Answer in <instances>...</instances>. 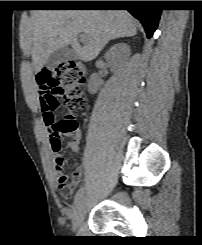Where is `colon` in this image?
I'll return each mask as SVG.
<instances>
[{
  "label": "colon",
  "instance_id": "5ec220e1",
  "mask_svg": "<svg viewBox=\"0 0 202 245\" xmlns=\"http://www.w3.org/2000/svg\"><path fill=\"white\" fill-rule=\"evenodd\" d=\"M84 76L74 61H63L53 68H47L37 75L38 86L45 94H56L65 104L68 114L66 118L56 125L54 105L48 96H40V110L43 120L48 128V137L54 149L62 146V132H69L75 126V115L86 105L83 96Z\"/></svg>",
  "mask_w": 202,
  "mask_h": 245
}]
</instances>
